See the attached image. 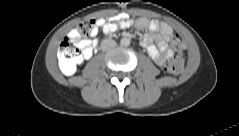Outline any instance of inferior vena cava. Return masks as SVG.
I'll list each match as a JSON object with an SVG mask.
<instances>
[{
    "instance_id": "1",
    "label": "inferior vena cava",
    "mask_w": 239,
    "mask_h": 136,
    "mask_svg": "<svg viewBox=\"0 0 239 136\" xmlns=\"http://www.w3.org/2000/svg\"><path fill=\"white\" fill-rule=\"evenodd\" d=\"M115 46H116V42L114 40H111V39L103 40L101 42V45H100V47L103 51H107V50H109V49H111Z\"/></svg>"
}]
</instances>
